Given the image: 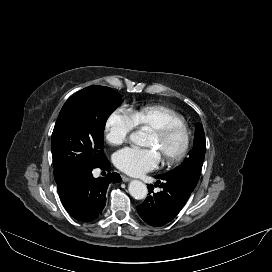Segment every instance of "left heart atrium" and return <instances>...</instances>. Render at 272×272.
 Returning a JSON list of instances; mask_svg holds the SVG:
<instances>
[{
    "instance_id": "left-heart-atrium-1",
    "label": "left heart atrium",
    "mask_w": 272,
    "mask_h": 272,
    "mask_svg": "<svg viewBox=\"0 0 272 272\" xmlns=\"http://www.w3.org/2000/svg\"><path fill=\"white\" fill-rule=\"evenodd\" d=\"M161 155L154 148H125L114 156L115 165L130 175H141L154 169L160 162Z\"/></svg>"
}]
</instances>
